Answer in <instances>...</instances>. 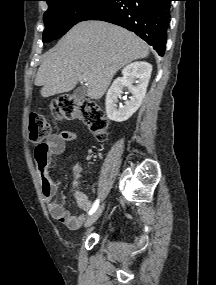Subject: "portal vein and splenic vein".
<instances>
[{
  "label": "portal vein and splenic vein",
  "mask_w": 216,
  "mask_h": 285,
  "mask_svg": "<svg viewBox=\"0 0 216 285\" xmlns=\"http://www.w3.org/2000/svg\"><path fill=\"white\" fill-rule=\"evenodd\" d=\"M81 79H82L83 81H86V78H85V77H81Z\"/></svg>",
  "instance_id": "18ae733b"
}]
</instances>
